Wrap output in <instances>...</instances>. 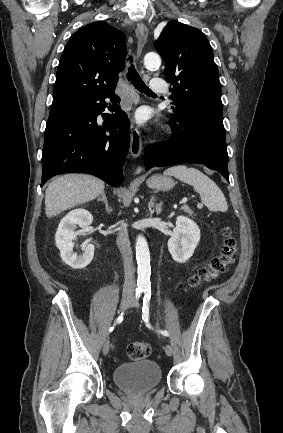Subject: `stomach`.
Masks as SVG:
<instances>
[{
    "label": "stomach",
    "instance_id": "1",
    "mask_svg": "<svg viewBox=\"0 0 283 433\" xmlns=\"http://www.w3.org/2000/svg\"><path fill=\"white\" fill-rule=\"evenodd\" d=\"M148 186L150 188H155V190H170L174 186V180L170 176H161V174H153L147 180Z\"/></svg>",
    "mask_w": 283,
    "mask_h": 433
}]
</instances>
